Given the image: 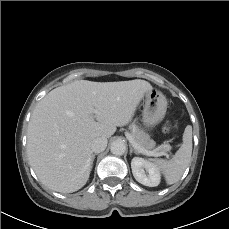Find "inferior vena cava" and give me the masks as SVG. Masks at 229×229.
<instances>
[{
  "mask_svg": "<svg viewBox=\"0 0 229 229\" xmlns=\"http://www.w3.org/2000/svg\"><path fill=\"white\" fill-rule=\"evenodd\" d=\"M106 147H107V139L104 137L95 138L91 142L92 152L100 153V152L104 151L106 149Z\"/></svg>",
  "mask_w": 229,
  "mask_h": 229,
  "instance_id": "1",
  "label": "inferior vena cava"
}]
</instances>
